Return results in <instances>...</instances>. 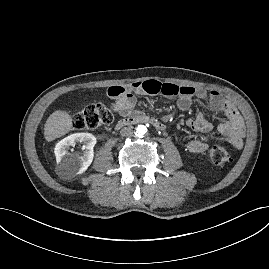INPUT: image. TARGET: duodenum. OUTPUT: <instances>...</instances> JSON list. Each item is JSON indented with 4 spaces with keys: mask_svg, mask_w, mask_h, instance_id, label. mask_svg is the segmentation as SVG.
I'll use <instances>...</instances> for the list:
<instances>
[{
    "mask_svg": "<svg viewBox=\"0 0 269 269\" xmlns=\"http://www.w3.org/2000/svg\"><path fill=\"white\" fill-rule=\"evenodd\" d=\"M140 123H151L153 124L158 130H164L165 126L157 121L156 119L144 116V115H134L130 117H126L122 120H120L116 124V129H120L126 126L134 125V124H140Z\"/></svg>",
    "mask_w": 269,
    "mask_h": 269,
    "instance_id": "duodenum-1",
    "label": "duodenum"
}]
</instances>
